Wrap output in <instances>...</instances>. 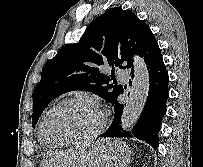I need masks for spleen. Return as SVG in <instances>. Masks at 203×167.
Here are the masks:
<instances>
[{
    "label": "spleen",
    "instance_id": "3e777b00",
    "mask_svg": "<svg viewBox=\"0 0 203 167\" xmlns=\"http://www.w3.org/2000/svg\"><path fill=\"white\" fill-rule=\"evenodd\" d=\"M120 149H121V152H125V153H126V151H127V152L130 153V151H129V149L127 148L126 145L121 146ZM118 162H119V164H120V167H126L127 164H128V162H129V158H127L126 160H118Z\"/></svg>",
    "mask_w": 203,
    "mask_h": 167
}]
</instances>
